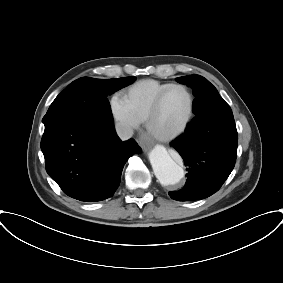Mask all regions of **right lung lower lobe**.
I'll return each instance as SVG.
<instances>
[{"mask_svg": "<svg viewBox=\"0 0 283 283\" xmlns=\"http://www.w3.org/2000/svg\"><path fill=\"white\" fill-rule=\"evenodd\" d=\"M41 149L48 175L65 194L85 202L111 197L120 184L124 164L140 152L133 139L120 140L113 121L97 116L47 123Z\"/></svg>", "mask_w": 283, "mask_h": 283, "instance_id": "obj_1", "label": "right lung lower lobe"}]
</instances>
